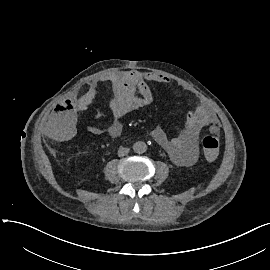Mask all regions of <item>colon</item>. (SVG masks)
<instances>
[{
	"label": "colon",
	"instance_id": "1",
	"mask_svg": "<svg viewBox=\"0 0 270 270\" xmlns=\"http://www.w3.org/2000/svg\"><path fill=\"white\" fill-rule=\"evenodd\" d=\"M201 147L208 158H214L219 150V139L213 134H205L201 138Z\"/></svg>",
	"mask_w": 270,
	"mask_h": 270
}]
</instances>
